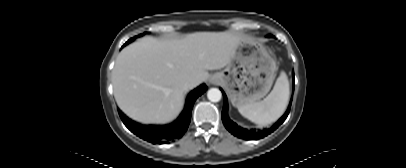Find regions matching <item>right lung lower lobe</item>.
Here are the masks:
<instances>
[{"instance_id":"obj_1","label":"right lung lower lobe","mask_w":406,"mask_h":168,"mask_svg":"<svg viewBox=\"0 0 406 168\" xmlns=\"http://www.w3.org/2000/svg\"><path fill=\"white\" fill-rule=\"evenodd\" d=\"M206 90L207 86L201 85L200 87L192 91L188 95L187 98L188 101L185 105L184 110L181 112L180 116L177 118V120L168 125L164 126L141 125L125 117V115H123L121 111H119V115L125 126L138 137L153 144L168 143L169 141L181 138L183 134L186 132L191 120V113L194 102Z\"/></svg>"}]
</instances>
